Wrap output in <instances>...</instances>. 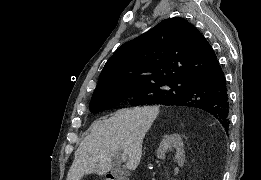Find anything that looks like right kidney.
I'll use <instances>...</instances> for the list:
<instances>
[{"label":"right kidney","instance_id":"obj_1","mask_svg":"<svg viewBox=\"0 0 261 180\" xmlns=\"http://www.w3.org/2000/svg\"><path fill=\"white\" fill-rule=\"evenodd\" d=\"M183 140L179 134H168L164 136L156 154L157 158H165V154L169 148H176V160L178 166H184L185 152L183 150Z\"/></svg>","mask_w":261,"mask_h":180}]
</instances>
